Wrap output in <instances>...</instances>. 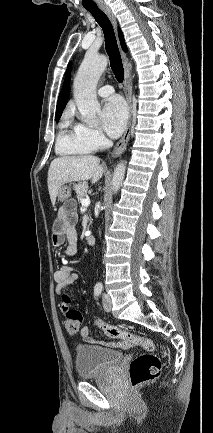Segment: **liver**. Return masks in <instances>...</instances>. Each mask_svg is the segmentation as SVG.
I'll return each instance as SVG.
<instances>
[{"label":"liver","mask_w":213,"mask_h":433,"mask_svg":"<svg viewBox=\"0 0 213 433\" xmlns=\"http://www.w3.org/2000/svg\"><path fill=\"white\" fill-rule=\"evenodd\" d=\"M100 159L93 155L63 156L54 159L48 170V190L54 205L59 189L66 183L92 179L96 183L103 175Z\"/></svg>","instance_id":"6515ba94"}]
</instances>
